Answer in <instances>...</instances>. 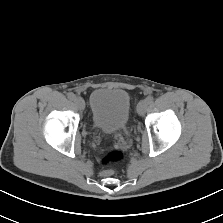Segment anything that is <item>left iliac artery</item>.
Instances as JSON below:
<instances>
[{
    "instance_id": "1",
    "label": "left iliac artery",
    "mask_w": 223,
    "mask_h": 223,
    "mask_svg": "<svg viewBox=\"0 0 223 223\" xmlns=\"http://www.w3.org/2000/svg\"><path fill=\"white\" fill-rule=\"evenodd\" d=\"M145 100L147 101L148 104H150V103L153 102L154 97L150 95V96H148Z\"/></svg>"
}]
</instances>
